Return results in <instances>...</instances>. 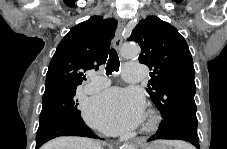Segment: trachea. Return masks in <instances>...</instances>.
<instances>
[{"label": "trachea", "instance_id": "3493384b", "mask_svg": "<svg viewBox=\"0 0 227 149\" xmlns=\"http://www.w3.org/2000/svg\"><path fill=\"white\" fill-rule=\"evenodd\" d=\"M119 67H120V61H119V57L117 55V52L115 51L114 48H111L110 52H109V59L106 65V73L107 75L112 74V72L119 71Z\"/></svg>", "mask_w": 227, "mask_h": 149}]
</instances>
